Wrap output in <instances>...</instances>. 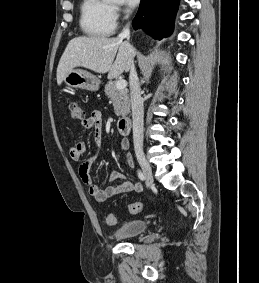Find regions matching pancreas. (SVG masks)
Segmentation results:
<instances>
[{
    "instance_id": "cf45deb5",
    "label": "pancreas",
    "mask_w": 259,
    "mask_h": 283,
    "mask_svg": "<svg viewBox=\"0 0 259 283\" xmlns=\"http://www.w3.org/2000/svg\"><path fill=\"white\" fill-rule=\"evenodd\" d=\"M105 94L113 102L114 112L117 116H125L130 111L128 89H118L115 81H109L105 86Z\"/></svg>"
}]
</instances>
